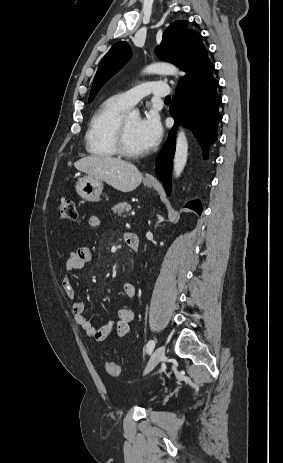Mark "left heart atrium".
Instances as JSON below:
<instances>
[{"label":"left heart atrium","instance_id":"left-heart-atrium-1","mask_svg":"<svg viewBox=\"0 0 283 463\" xmlns=\"http://www.w3.org/2000/svg\"><path fill=\"white\" fill-rule=\"evenodd\" d=\"M138 135L145 150L153 149L161 140L162 127L158 117L150 113L139 120Z\"/></svg>","mask_w":283,"mask_h":463}]
</instances>
